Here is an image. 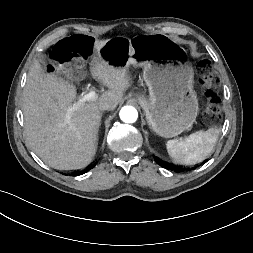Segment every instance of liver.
Returning <instances> with one entry per match:
<instances>
[{
  "label": "liver",
  "instance_id": "liver-1",
  "mask_svg": "<svg viewBox=\"0 0 253 253\" xmlns=\"http://www.w3.org/2000/svg\"><path fill=\"white\" fill-rule=\"evenodd\" d=\"M106 42L96 40L93 44L91 75L109 89L95 100L75 101L76 87L45 73L39 62L29 70L23 92L26 139L34 153L52 168L81 169L91 163L98 146L100 103L109 101L116 107L131 86L125 69L109 65L98 55Z\"/></svg>",
  "mask_w": 253,
  "mask_h": 253
}]
</instances>
